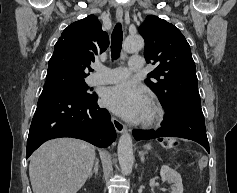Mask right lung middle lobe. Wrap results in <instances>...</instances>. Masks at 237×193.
I'll return each mask as SVG.
<instances>
[{
  "instance_id": "obj_1",
  "label": "right lung middle lobe",
  "mask_w": 237,
  "mask_h": 193,
  "mask_svg": "<svg viewBox=\"0 0 237 193\" xmlns=\"http://www.w3.org/2000/svg\"><path fill=\"white\" fill-rule=\"evenodd\" d=\"M44 89H57L66 92L75 98H87L91 96L89 87L84 78L68 75L60 71H48Z\"/></svg>"
}]
</instances>
